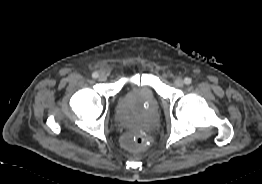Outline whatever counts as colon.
<instances>
[{"mask_svg": "<svg viewBox=\"0 0 262 184\" xmlns=\"http://www.w3.org/2000/svg\"><path fill=\"white\" fill-rule=\"evenodd\" d=\"M148 144L149 139L143 133L129 134L123 138V145L129 150H140Z\"/></svg>", "mask_w": 262, "mask_h": 184, "instance_id": "colon-1", "label": "colon"}]
</instances>
